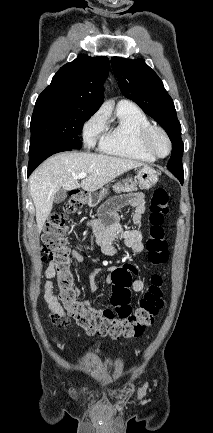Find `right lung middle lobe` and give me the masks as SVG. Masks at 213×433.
Instances as JSON below:
<instances>
[{
    "mask_svg": "<svg viewBox=\"0 0 213 433\" xmlns=\"http://www.w3.org/2000/svg\"><path fill=\"white\" fill-rule=\"evenodd\" d=\"M94 113L78 105L36 101L30 124V146L50 141L80 149L83 124Z\"/></svg>",
    "mask_w": 213,
    "mask_h": 433,
    "instance_id": "1",
    "label": "right lung middle lobe"
}]
</instances>
